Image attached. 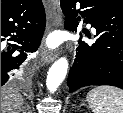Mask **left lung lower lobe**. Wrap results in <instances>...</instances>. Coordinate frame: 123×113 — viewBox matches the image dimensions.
Here are the masks:
<instances>
[{"mask_svg":"<svg viewBox=\"0 0 123 113\" xmlns=\"http://www.w3.org/2000/svg\"><path fill=\"white\" fill-rule=\"evenodd\" d=\"M97 31L92 45L79 41L67 85L73 92L90 85H111L123 89V9L108 0H61L65 28L77 30L78 11Z\"/></svg>","mask_w":123,"mask_h":113,"instance_id":"obj_1","label":"left lung lower lobe"}]
</instances>
